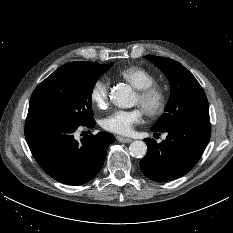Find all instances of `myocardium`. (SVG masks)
Returning <instances> with one entry per match:
<instances>
[{"mask_svg":"<svg viewBox=\"0 0 233 233\" xmlns=\"http://www.w3.org/2000/svg\"><path fill=\"white\" fill-rule=\"evenodd\" d=\"M140 106L150 117L161 115L167 106L168 96L163 87L153 84L138 90Z\"/></svg>","mask_w":233,"mask_h":233,"instance_id":"obj_1","label":"myocardium"}]
</instances>
